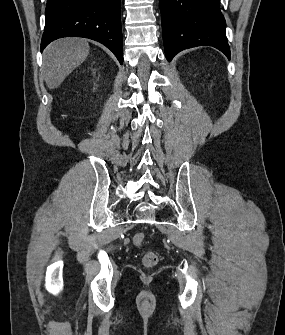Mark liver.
<instances>
[{
	"label": "liver",
	"instance_id": "6515ba94",
	"mask_svg": "<svg viewBox=\"0 0 285 335\" xmlns=\"http://www.w3.org/2000/svg\"><path fill=\"white\" fill-rule=\"evenodd\" d=\"M89 54L87 40L80 38H62L50 44L43 56L45 82L50 88H58L65 78L83 64Z\"/></svg>",
	"mask_w": 285,
	"mask_h": 335
}]
</instances>
